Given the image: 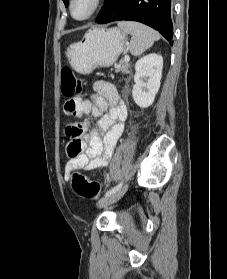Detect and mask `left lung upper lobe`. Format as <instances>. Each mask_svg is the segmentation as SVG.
I'll return each instance as SVG.
<instances>
[{"instance_id": "obj_1", "label": "left lung upper lobe", "mask_w": 227, "mask_h": 279, "mask_svg": "<svg viewBox=\"0 0 227 279\" xmlns=\"http://www.w3.org/2000/svg\"><path fill=\"white\" fill-rule=\"evenodd\" d=\"M65 6L67 7L68 6V0H63Z\"/></svg>"}]
</instances>
